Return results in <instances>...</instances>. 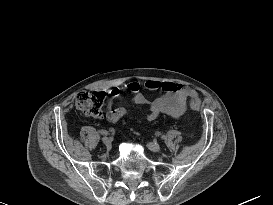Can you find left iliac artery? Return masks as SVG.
I'll use <instances>...</instances> for the list:
<instances>
[{
  "mask_svg": "<svg viewBox=\"0 0 273 205\" xmlns=\"http://www.w3.org/2000/svg\"><path fill=\"white\" fill-rule=\"evenodd\" d=\"M161 138H162V139H165V135H162Z\"/></svg>",
  "mask_w": 273,
  "mask_h": 205,
  "instance_id": "44dca946",
  "label": "left iliac artery"
}]
</instances>
